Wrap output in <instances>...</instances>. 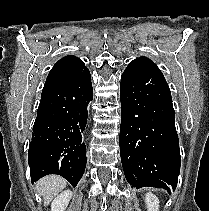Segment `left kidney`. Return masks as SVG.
<instances>
[{"label":"left kidney","instance_id":"obj_1","mask_svg":"<svg viewBox=\"0 0 209 211\" xmlns=\"http://www.w3.org/2000/svg\"><path fill=\"white\" fill-rule=\"evenodd\" d=\"M145 203L147 211H159V199L151 192L146 194Z\"/></svg>","mask_w":209,"mask_h":211}]
</instances>
